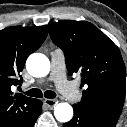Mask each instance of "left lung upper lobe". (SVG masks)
Listing matches in <instances>:
<instances>
[{
  "instance_id": "5c2ea615",
  "label": "left lung upper lobe",
  "mask_w": 127,
  "mask_h": 127,
  "mask_svg": "<svg viewBox=\"0 0 127 127\" xmlns=\"http://www.w3.org/2000/svg\"><path fill=\"white\" fill-rule=\"evenodd\" d=\"M49 33L64 51L70 75L75 72L82 75L83 97L77 105L117 121L126 89L125 65L117 46L86 21L56 22L49 25Z\"/></svg>"
}]
</instances>
